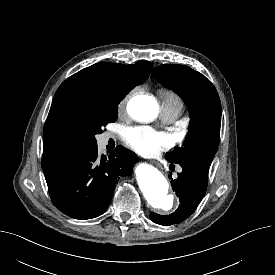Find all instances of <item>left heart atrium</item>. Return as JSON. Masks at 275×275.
Returning <instances> with one entry per match:
<instances>
[{"label":"left heart atrium","mask_w":275,"mask_h":275,"mask_svg":"<svg viewBox=\"0 0 275 275\" xmlns=\"http://www.w3.org/2000/svg\"><path fill=\"white\" fill-rule=\"evenodd\" d=\"M124 138L134 150L145 155H155L173 145L169 134L146 126L126 128Z\"/></svg>","instance_id":"1"}]
</instances>
